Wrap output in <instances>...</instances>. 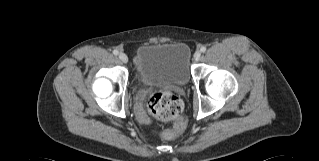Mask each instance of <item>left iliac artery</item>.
Returning <instances> with one entry per match:
<instances>
[{"mask_svg":"<svg viewBox=\"0 0 319 161\" xmlns=\"http://www.w3.org/2000/svg\"><path fill=\"white\" fill-rule=\"evenodd\" d=\"M200 50H201V52H205L206 51V47L203 46V47H201Z\"/></svg>","mask_w":319,"mask_h":161,"instance_id":"obj_1","label":"left iliac artery"}]
</instances>
